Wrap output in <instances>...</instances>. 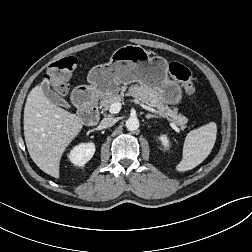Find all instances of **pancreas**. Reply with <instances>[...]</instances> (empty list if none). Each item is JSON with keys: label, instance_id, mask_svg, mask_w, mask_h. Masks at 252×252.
I'll return each mask as SVG.
<instances>
[{"label": "pancreas", "instance_id": "obj_1", "mask_svg": "<svg viewBox=\"0 0 252 252\" xmlns=\"http://www.w3.org/2000/svg\"><path fill=\"white\" fill-rule=\"evenodd\" d=\"M125 90L126 88H123L120 94L103 98L100 102V108H102L104 111L109 110L112 103L120 102L123 99ZM126 95L133 96L143 103L157 108L160 112L169 116L171 120L181 128H183L187 123V118L182 115H178L176 109L171 110L168 106L164 105L163 96H161L156 90L140 86L136 87L134 91L127 92Z\"/></svg>", "mask_w": 252, "mask_h": 252}]
</instances>
